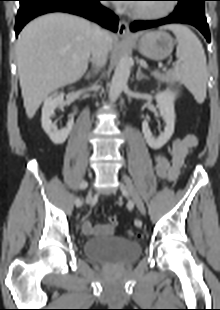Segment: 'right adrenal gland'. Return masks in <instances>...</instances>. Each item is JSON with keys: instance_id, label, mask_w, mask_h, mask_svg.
Returning a JSON list of instances; mask_svg holds the SVG:
<instances>
[{"instance_id": "2a0ac1e0", "label": "right adrenal gland", "mask_w": 220, "mask_h": 310, "mask_svg": "<svg viewBox=\"0 0 220 310\" xmlns=\"http://www.w3.org/2000/svg\"><path fill=\"white\" fill-rule=\"evenodd\" d=\"M85 78H86L87 80H89V79L91 78V73L88 72V73L86 74Z\"/></svg>"}]
</instances>
